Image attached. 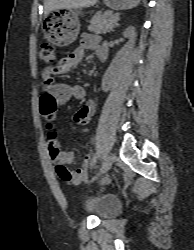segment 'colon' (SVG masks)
<instances>
[{"label": "colon", "mask_w": 194, "mask_h": 250, "mask_svg": "<svg viewBox=\"0 0 194 250\" xmlns=\"http://www.w3.org/2000/svg\"><path fill=\"white\" fill-rule=\"evenodd\" d=\"M39 58L42 63L53 66L56 64V52L52 44H44L39 51ZM41 112L43 117H53L57 112V103L52 94L46 92L41 97ZM58 174L69 179V170L63 166L56 168Z\"/></svg>", "instance_id": "colon-1"}]
</instances>
